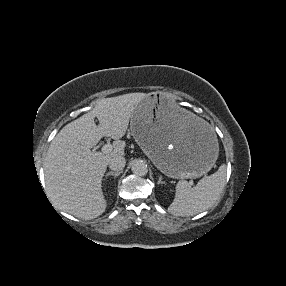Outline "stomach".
<instances>
[{
	"label": "stomach",
	"mask_w": 286,
	"mask_h": 286,
	"mask_svg": "<svg viewBox=\"0 0 286 286\" xmlns=\"http://www.w3.org/2000/svg\"><path fill=\"white\" fill-rule=\"evenodd\" d=\"M130 131L154 165L171 178L201 177L218 158L216 130L163 93L147 94L137 104Z\"/></svg>",
	"instance_id": "1"
}]
</instances>
